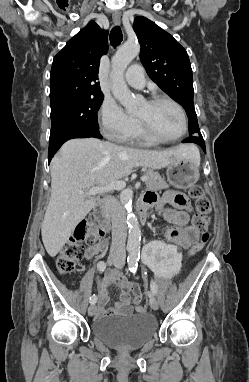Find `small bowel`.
Here are the masks:
<instances>
[{
	"label": "small bowel",
	"mask_w": 249,
	"mask_h": 382,
	"mask_svg": "<svg viewBox=\"0 0 249 382\" xmlns=\"http://www.w3.org/2000/svg\"><path fill=\"white\" fill-rule=\"evenodd\" d=\"M143 201L148 206H156L158 212L172 223V227L167 230L166 236L171 241H174L175 245L188 248L199 238V230L193 223H190L189 212L191 202L185 194L166 191L161 197H158L154 191H148L144 195ZM167 205L172 206L174 209H167ZM106 246L107 242L101 241L88 247L85 257L91 259L102 252ZM111 284H116L120 287V299L112 308L106 309L109 300V286ZM131 293L141 295L136 284L129 281L123 273L119 271H108L98 285L99 302L96 307L98 315L100 317H107L118 314H129L131 312Z\"/></svg>",
	"instance_id": "obj_1"
}]
</instances>
